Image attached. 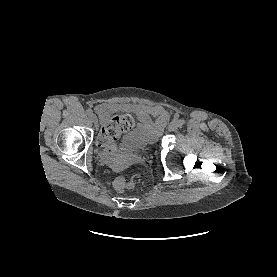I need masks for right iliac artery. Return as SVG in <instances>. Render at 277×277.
<instances>
[{"label":"right iliac artery","instance_id":"1","mask_svg":"<svg viewBox=\"0 0 277 277\" xmlns=\"http://www.w3.org/2000/svg\"><path fill=\"white\" fill-rule=\"evenodd\" d=\"M86 115L91 117L93 115V112L91 109L86 110Z\"/></svg>","mask_w":277,"mask_h":277}]
</instances>
